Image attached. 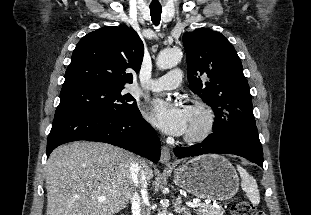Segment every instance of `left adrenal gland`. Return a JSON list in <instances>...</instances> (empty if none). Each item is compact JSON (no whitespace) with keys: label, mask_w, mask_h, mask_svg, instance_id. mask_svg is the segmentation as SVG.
<instances>
[{"label":"left adrenal gland","mask_w":311,"mask_h":215,"mask_svg":"<svg viewBox=\"0 0 311 215\" xmlns=\"http://www.w3.org/2000/svg\"><path fill=\"white\" fill-rule=\"evenodd\" d=\"M181 203H182L181 197L179 196L175 203V211L178 214L191 215V210L186 206H181Z\"/></svg>","instance_id":"1"}]
</instances>
